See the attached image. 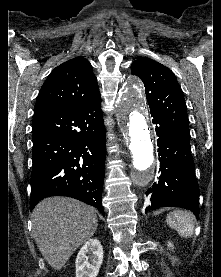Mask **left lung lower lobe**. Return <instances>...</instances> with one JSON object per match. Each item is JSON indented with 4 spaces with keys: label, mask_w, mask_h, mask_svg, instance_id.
I'll list each match as a JSON object with an SVG mask.
<instances>
[{
    "label": "left lung lower lobe",
    "mask_w": 221,
    "mask_h": 277,
    "mask_svg": "<svg viewBox=\"0 0 221 277\" xmlns=\"http://www.w3.org/2000/svg\"><path fill=\"white\" fill-rule=\"evenodd\" d=\"M157 145L159 146L160 177L147 190L148 210L159 207H181L194 212L199 217V188L194 172L191 146L156 116Z\"/></svg>",
    "instance_id": "obj_1"
}]
</instances>
